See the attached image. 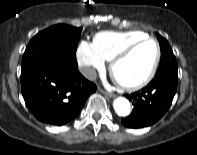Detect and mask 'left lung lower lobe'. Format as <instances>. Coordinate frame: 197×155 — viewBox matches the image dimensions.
Masks as SVG:
<instances>
[{
	"mask_svg": "<svg viewBox=\"0 0 197 155\" xmlns=\"http://www.w3.org/2000/svg\"><path fill=\"white\" fill-rule=\"evenodd\" d=\"M178 75L161 74L141 91L126 97L134 105L130 116L122 118L129 128H142L156 123L168 110L176 93Z\"/></svg>",
	"mask_w": 197,
	"mask_h": 155,
	"instance_id": "left-lung-lower-lobe-1",
	"label": "left lung lower lobe"
}]
</instances>
